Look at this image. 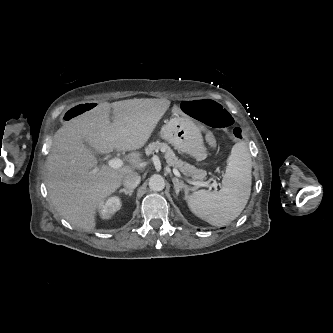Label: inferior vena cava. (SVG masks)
Listing matches in <instances>:
<instances>
[{
  "instance_id": "602c4592",
  "label": "inferior vena cava",
  "mask_w": 333,
  "mask_h": 333,
  "mask_svg": "<svg viewBox=\"0 0 333 333\" xmlns=\"http://www.w3.org/2000/svg\"><path fill=\"white\" fill-rule=\"evenodd\" d=\"M141 181V177L137 172H131L127 174L123 179V185L127 189H134L136 188Z\"/></svg>"
}]
</instances>
